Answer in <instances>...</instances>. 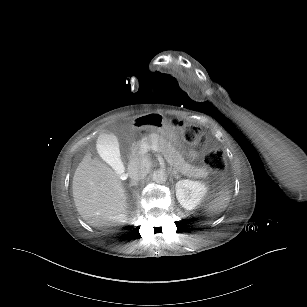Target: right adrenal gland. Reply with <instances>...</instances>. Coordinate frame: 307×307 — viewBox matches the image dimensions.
I'll return each instance as SVG.
<instances>
[{
    "label": "right adrenal gland",
    "instance_id": "2a0ac1e0",
    "mask_svg": "<svg viewBox=\"0 0 307 307\" xmlns=\"http://www.w3.org/2000/svg\"><path fill=\"white\" fill-rule=\"evenodd\" d=\"M136 185V182H132L131 184H130V189L133 187V186H135Z\"/></svg>",
    "mask_w": 307,
    "mask_h": 307
}]
</instances>
